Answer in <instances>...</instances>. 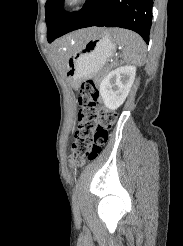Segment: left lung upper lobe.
Returning a JSON list of instances; mask_svg holds the SVG:
<instances>
[{
    "label": "left lung upper lobe",
    "instance_id": "5c2ea615",
    "mask_svg": "<svg viewBox=\"0 0 183 246\" xmlns=\"http://www.w3.org/2000/svg\"><path fill=\"white\" fill-rule=\"evenodd\" d=\"M64 0H47L45 4V20L47 24V39L53 41L65 28L75 12L63 10Z\"/></svg>",
    "mask_w": 183,
    "mask_h": 246
}]
</instances>
